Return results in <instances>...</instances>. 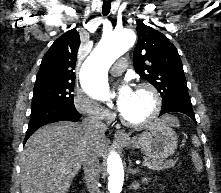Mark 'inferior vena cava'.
<instances>
[{
	"instance_id": "inferior-vena-cava-1",
	"label": "inferior vena cava",
	"mask_w": 221,
	"mask_h": 193,
	"mask_svg": "<svg viewBox=\"0 0 221 193\" xmlns=\"http://www.w3.org/2000/svg\"><path fill=\"white\" fill-rule=\"evenodd\" d=\"M82 127L88 136L87 148L83 155V170L89 193H100L99 183V155L96 144L104 136L107 127L101 118L96 115L89 116L82 120Z\"/></svg>"
}]
</instances>
